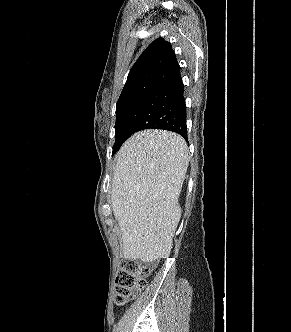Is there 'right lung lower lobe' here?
<instances>
[{
  "label": "right lung lower lobe",
  "mask_w": 291,
  "mask_h": 332,
  "mask_svg": "<svg viewBox=\"0 0 291 332\" xmlns=\"http://www.w3.org/2000/svg\"><path fill=\"white\" fill-rule=\"evenodd\" d=\"M143 129L169 130L187 140L186 105L180 74L142 98L134 108L124 134L128 138Z\"/></svg>",
  "instance_id": "1"
}]
</instances>
